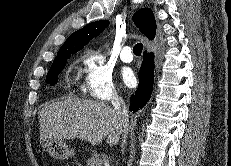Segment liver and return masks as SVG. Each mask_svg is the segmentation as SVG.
Wrapping results in <instances>:
<instances>
[{"instance_id":"liver-1","label":"liver","mask_w":231,"mask_h":166,"mask_svg":"<svg viewBox=\"0 0 231 166\" xmlns=\"http://www.w3.org/2000/svg\"><path fill=\"white\" fill-rule=\"evenodd\" d=\"M121 117L103 102L67 99L45 105L39 111L40 139H74L99 145L107 137L112 147L124 134Z\"/></svg>"}]
</instances>
